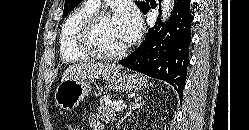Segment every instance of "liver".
<instances>
[{
  "mask_svg": "<svg viewBox=\"0 0 249 130\" xmlns=\"http://www.w3.org/2000/svg\"><path fill=\"white\" fill-rule=\"evenodd\" d=\"M122 69V66L96 62L73 64L66 68L61 81L68 79H107Z\"/></svg>",
  "mask_w": 249,
  "mask_h": 130,
  "instance_id": "liver-1",
  "label": "liver"
}]
</instances>
